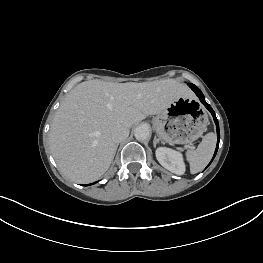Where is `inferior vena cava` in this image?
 <instances>
[{
  "mask_svg": "<svg viewBox=\"0 0 263 263\" xmlns=\"http://www.w3.org/2000/svg\"><path fill=\"white\" fill-rule=\"evenodd\" d=\"M128 135H129V128L125 126L118 125L112 131V139L116 143L123 141L128 137Z\"/></svg>",
  "mask_w": 263,
  "mask_h": 263,
  "instance_id": "inferior-vena-cava-1",
  "label": "inferior vena cava"
}]
</instances>
